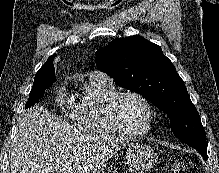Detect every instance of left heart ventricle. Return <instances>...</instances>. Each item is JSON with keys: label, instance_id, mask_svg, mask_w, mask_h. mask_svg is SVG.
<instances>
[{"label": "left heart ventricle", "instance_id": "obj_1", "mask_svg": "<svg viewBox=\"0 0 219 173\" xmlns=\"http://www.w3.org/2000/svg\"><path fill=\"white\" fill-rule=\"evenodd\" d=\"M118 112L122 125L128 130L140 131L145 128L148 110L140 99L133 96L123 98Z\"/></svg>", "mask_w": 219, "mask_h": 173}]
</instances>
